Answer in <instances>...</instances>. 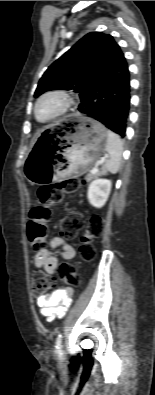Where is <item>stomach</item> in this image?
<instances>
[{
    "mask_svg": "<svg viewBox=\"0 0 155 395\" xmlns=\"http://www.w3.org/2000/svg\"><path fill=\"white\" fill-rule=\"evenodd\" d=\"M65 123L52 143L38 141L30 151L24 164L30 183L82 174L101 156L107 142V130L101 123L82 114L70 115Z\"/></svg>",
    "mask_w": 155,
    "mask_h": 395,
    "instance_id": "1",
    "label": "stomach"
}]
</instances>
